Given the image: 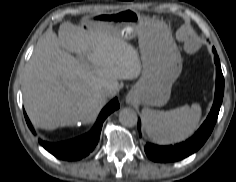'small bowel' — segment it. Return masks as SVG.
<instances>
[{
	"mask_svg": "<svg viewBox=\"0 0 236 182\" xmlns=\"http://www.w3.org/2000/svg\"><path fill=\"white\" fill-rule=\"evenodd\" d=\"M187 49H188L190 52H192V51L195 50V45L189 43V44H187Z\"/></svg>",
	"mask_w": 236,
	"mask_h": 182,
	"instance_id": "c3829d8e",
	"label": "small bowel"
}]
</instances>
